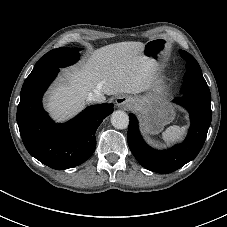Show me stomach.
<instances>
[{
    "instance_id": "0dacf381",
    "label": "stomach",
    "mask_w": 227,
    "mask_h": 227,
    "mask_svg": "<svg viewBox=\"0 0 227 227\" xmlns=\"http://www.w3.org/2000/svg\"><path fill=\"white\" fill-rule=\"evenodd\" d=\"M143 52L159 63L167 52V45L161 40L149 41L145 44ZM132 102L134 109L140 113L147 132H158L174 119V110L161 98L149 95L133 99Z\"/></svg>"
}]
</instances>
